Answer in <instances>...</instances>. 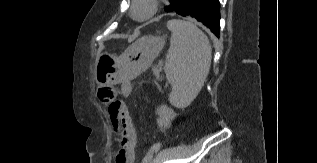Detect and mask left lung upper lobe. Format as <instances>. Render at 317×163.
Returning <instances> with one entry per match:
<instances>
[{"mask_svg": "<svg viewBox=\"0 0 317 163\" xmlns=\"http://www.w3.org/2000/svg\"><path fill=\"white\" fill-rule=\"evenodd\" d=\"M170 5L165 7V10L168 12H174V10L177 8L181 0H169Z\"/></svg>", "mask_w": 317, "mask_h": 163, "instance_id": "5c2ea615", "label": "left lung upper lobe"}]
</instances>
